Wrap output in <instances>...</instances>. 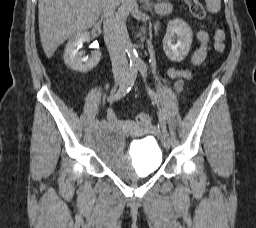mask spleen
I'll return each mask as SVG.
<instances>
[{"label": "spleen", "instance_id": "obj_1", "mask_svg": "<svg viewBox=\"0 0 256 228\" xmlns=\"http://www.w3.org/2000/svg\"><path fill=\"white\" fill-rule=\"evenodd\" d=\"M206 8L211 13H217L221 9V0H205Z\"/></svg>", "mask_w": 256, "mask_h": 228}]
</instances>
